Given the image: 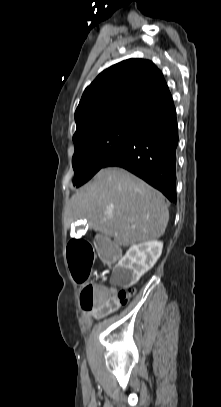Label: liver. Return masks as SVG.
I'll return each mask as SVG.
<instances>
[{
    "mask_svg": "<svg viewBox=\"0 0 221 407\" xmlns=\"http://www.w3.org/2000/svg\"><path fill=\"white\" fill-rule=\"evenodd\" d=\"M69 217L86 220L115 244L129 246L160 238L169 211L162 193L130 172L110 167L71 197Z\"/></svg>",
    "mask_w": 221,
    "mask_h": 407,
    "instance_id": "1",
    "label": "liver"
}]
</instances>
